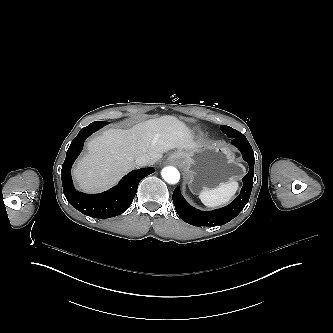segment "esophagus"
Wrapping results in <instances>:
<instances>
[{
    "instance_id": "obj_1",
    "label": "esophagus",
    "mask_w": 333,
    "mask_h": 333,
    "mask_svg": "<svg viewBox=\"0 0 333 333\" xmlns=\"http://www.w3.org/2000/svg\"><path fill=\"white\" fill-rule=\"evenodd\" d=\"M176 154H177L176 152L172 153V154L169 156V158H173V157H175Z\"/></svg>"
}]
</instances>
